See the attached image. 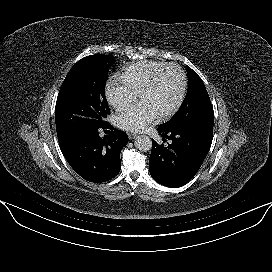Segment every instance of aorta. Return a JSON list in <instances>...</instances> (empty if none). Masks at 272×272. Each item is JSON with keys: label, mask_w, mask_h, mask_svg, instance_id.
Wrapping results in <instances>:
<instances>
[{"label": "aorta", "mask_w": 272, "mask_h": 272, "mask_svg": "<svg viewBox=\"0 0 272 272\" xmlns=\"http://www.w3.org/2000/svg\"><path fill=\"white\" fill-rule=\"evenodd\" d=\"M134 146L142 152H147L152 148V141L147 135H139L135 138Z\"/></svg>", "instance_id": "obj_1"}]
</instances>
